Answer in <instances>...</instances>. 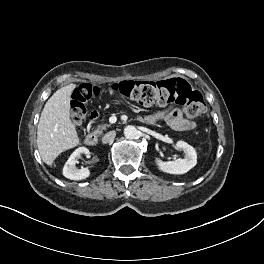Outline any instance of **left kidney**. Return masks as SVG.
Returning a JSON list of instances; mask_svg holds the SVG:
<instances>
[{"label":"left kidney","mask_w":264,"mask_h":264,"mask_svg":"<svg viewBox=\"0 0 264 264\" xmlns=\"http://www.w3.org/2000/svg\"><path fill=\"white\" fill-rule=\"evenodd\" d=\"M176 146L184 151L185 158L168 162L155 158L159 170L170 174H184L197 164V153L191 145L184 141H177Z\"/></svg>","instance_id":"obj_1"}]
</instances>
